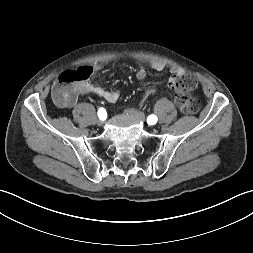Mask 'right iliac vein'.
<instances>
[{"label": "right iliac vein", "mask_w": 253, "mask_h": 253, "mask_svg": "<svg viewBox=\"0 0 253 253\" xmlns=\"http://www.w3.org/2000/svg\"><path fill=\"white\" fill-rule=\"evenodd\" d=\"M103 124H104V120L99 119V120L97 121V125H98V126H102Z\"/></svg>", "instance_id": "right-iliac-vein-1"}]
</instances>
